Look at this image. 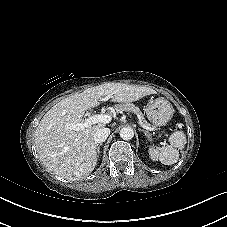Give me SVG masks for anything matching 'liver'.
Segmentation results:
<instances>
[{
    "label": "liver",
    "mask_w": 227,
    "mask_h": 227,
    "mask_svg": "<svg viewBox=\"0 0 227 227\" xmlns=\"http://www.w3.org/2000/svg\"><path fill=\"white\" fill-rule=\"evenodd\" d=\"M155 90L122 83H107L75 93L54 105L35 130V147L40 161L49 172L67 179L80 180L88 176L97 164L96 130L104 123L75 131L69 124L81 122L85 112L97 107L102 97L113 102H135Z\"/></svg>",
    "instance_id": "obj_1"
}]
</instances>
